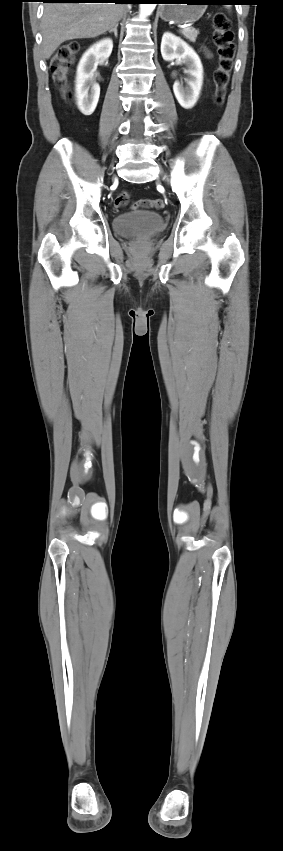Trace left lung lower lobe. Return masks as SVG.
Segmentation results:
<instances>
[{
	"label": "left lung lower lobe",
	"instance_id": "left-lung-lower-lobe-1",
	"mask_svg": "<svg viewBox=\"0 0 283 851\" xmlns=\"http://www.w3.org/2000/svg\"><path fill=\"white\" fill-rule=\"evenodd\" d=\"M168 1L169 0H143V2L156 3V4L166 3ZM214 1L216 3H219V4H229V3L237 2L238 0H214Z\"/></svg>",
	"mask_w": 283,
	"mask_h": 851
}]
</instances>
